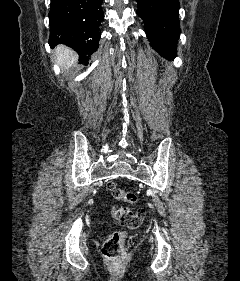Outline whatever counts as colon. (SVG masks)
Returning a JSON list of instances; mask_svg holds the SVG:
<instances>
[{
	"mask_svg": "<svg viewBox=\"0 0 240 281\" xmlns=\"http://www.w3.org/2000/svg\"><path fill=\"white\" fill-rule=\"evenodd\" d=\"M107 187L114 199L131 205L136 203L137 196L135 193L119 188L112 182H109ZM144 215V209L133 211L127 206L112 209L113 218L130 229L139 227L143 222ZM126 237L127 232L125 230H118L105 240L102 254L108 261L117 263L125 258L124 243Z\"/></svg>",
	"mask_w": 240,
	"mask_h": 281,
	"instance_id": "5ec220e1",
	"label": "colon"
}]
</instances>
